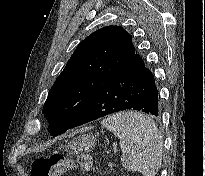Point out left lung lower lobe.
Wrapping results in <instances>:
<instances>
[{"mask_svg": "<svg viewBox=\"0 0 205 176\" xmlns=\"http://www.w3.org/2000/svg\"><path fill=\"white\" fill-rule=\"evenodd\" d=\"M127 109L159 115L154 76L137 53L98 88L93 101L84 107L70 128Z\"/></svg>", "mask_w": 205, "mask_h": 176, "instance_id": "obj_1", "label": "left lung lower lobe"}]
</instances>
